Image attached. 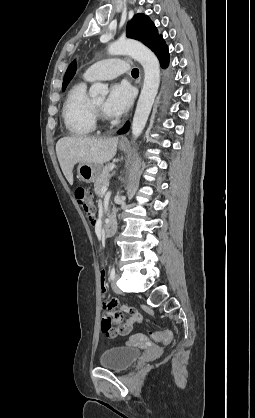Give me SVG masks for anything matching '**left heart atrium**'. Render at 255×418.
<instances>
[{
    "label": "left heart atrium",
    "instance_id": "left-heart-atrium-1",
    "mask_svg": "<svg viewBox=\"0 0 255 418\" xmlns=\"http://www.w3.org/2000/svg\"><path fill=\"white\" fill-rule=\"evenodd\" d=\"M132 101L133 93L130 86L126 83H116L110 87L103 110L107 116L117 118L129 109Z\"/></svg>",
    "mask_w": 255,
    "mask_h": 418
}]
</instances>
